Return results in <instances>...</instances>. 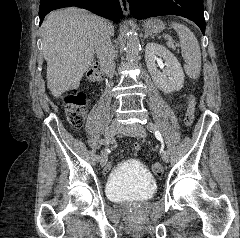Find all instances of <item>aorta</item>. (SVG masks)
<instances>
[{
	"label": "aorta",
	"mask_w": 240,
	"mask_h": 238,
	"mask_svg": "<svg viewBox=\"0 0 240 238\" xmlns=\"http://www.w3.org/2000/svg\"><path fill=\"white\" fill-rule=\"evenodd\" d=\"M140 41L138 34L134 30H130L127 34V43L125 47L126 60L134 61L139 53Z\"/></svg>",
	"instance_id": "1"
}]
</instances>
